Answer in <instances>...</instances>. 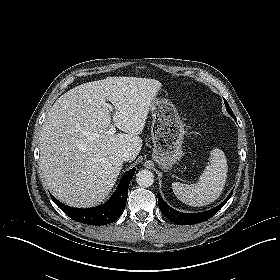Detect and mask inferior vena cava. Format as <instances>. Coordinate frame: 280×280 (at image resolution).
Masks as SVG:
<instances>
[{
	"label": "inferior vena cava",
	"mask_w": 280,
	"mask_h": 280,
	"mask_svg": "<svg viewBox=\"0 0 280 280\" xmlns=\"http://www.w3.org/2000/svg\"><path fill=\"white\" fill-rule=\"evenodd\" d=\"M121 159H122L123 162H124V161H129V160H131V155H130V153L124 152V153L121 155Z\"/></svg>",
	"instance_id": "obj_1"
}]
</instances>
